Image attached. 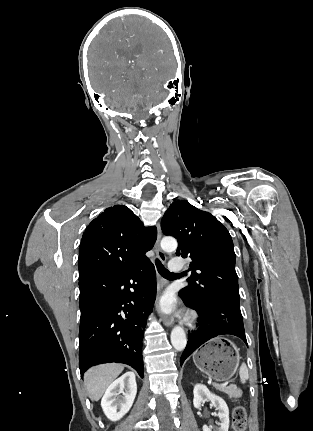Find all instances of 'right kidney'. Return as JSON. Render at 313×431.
<instances>
[{"mask_svg":"<svg viewBox=\"0 0 313 431\" xmlns=\"http://www.w3.org/2000/svg\"><path fill=\"white\" fill-rule=\"evenodd\" d=\"M137 393L135 374L126 372L107 388L101 407L111 421L121 419L132 407Z\"/></svg>","mask_w":313,"mask_h":431,"instance_id":"obj_1","label":"right kidney"}]
</instances>
